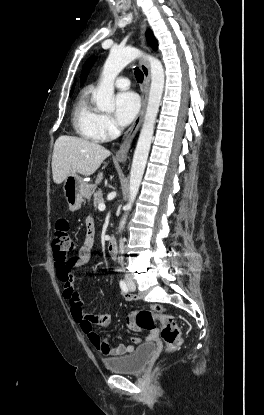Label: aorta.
Instances as JSON below:
<instances>
[{
    "label": "aorta",
    "mask_w": 264,
    "mask_h": 415,
    "mask_svg": "<svg viewBox=\"0 0 264 415\" xmlns=\"http://www.w3.org/2000/svg\"><path fill=\"white\" fill-rule=\"evenodd\" d=\"M144 57L150 65L151 85L148 97L146 114L140 135L134 151L131 171L129 202L125 205V214L120 222L119 231L124 228L128 212L138 194L144 170L149 155L156 117L159 111L161 98L164 90L165 75L162 63L155 57L146 55L134 47L112 48L106 59L100 79L95 91L94 99L97 108L101 111L112 112L114 110V80L117 75L136 58Z\"/></svg>",
    "instance_id": "1"
}]
</instances>
